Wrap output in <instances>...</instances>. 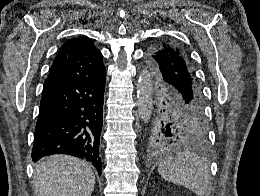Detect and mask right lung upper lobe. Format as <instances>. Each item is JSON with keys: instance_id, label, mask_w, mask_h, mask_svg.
<instances>
[{"instance_id": "obj_1", "label": "right lung upper lobe", "mask_w": 260, "mask_h": 196, "mask_svg": "<svg viewBox=\"0 0 260 196\" xmlns=\"http://www.w3.org/2000/svg\"><path fill=\"white\" fill-rule=\"evenodd\" d=\"M106 72L101 52L87 37L72 38L64 43L45 80L43 95L63 86L101 76Z\"/></svg>"}]
</instances>
